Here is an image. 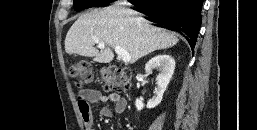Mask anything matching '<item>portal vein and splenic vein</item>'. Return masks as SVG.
Segmentation results:
<instances>
[{"mask_svg": "<svg viewBox=\"0 0 257 130\" xmlns=\"http://www.w3.org/2000/svg\"><path fill=\"white\" fill-rule=\"evenodd\" d=\"M97 43H98V48L103 49L105 47V44L103 42H97ZM114 50H115L116 54L118 55V58L121 59L124 63L130 62L131 56L127 51L120 48L119 46H115Z\"/></svg>", "mask_w": 257, "mask_h": 130, "instance_id": "portal-vein-and-splenic-vein-1", "label": "portal vein and splenic vein"}]
</instances>
